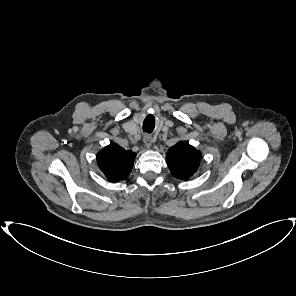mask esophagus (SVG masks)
I'll return each mask as SVG.
<instances>
[{
    "label": "esophagus",
    "instance_id": "esophagus-1",
    "mask_svg": "<svg viewBox=\"0 0 296 296\" xmlns=\"http://www.w3.org/2000/svg\"><path fill=\"white\" fill-rule=\"evenodd\" d=\"M143 141L147 148H150L153 142L152 137L148 134L144 135Z\"/></svg>",
    "mask_w": 296,
    "mask_h": 296
}]
</instances>
